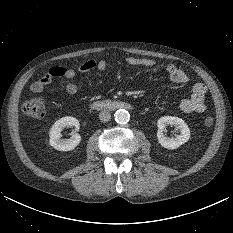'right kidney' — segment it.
Here are the masks:
<instances>
[{
  "label": "right kidney",
  "mask_w": 233,
  "mask_h": 233,
  "mask_svg": "<svg viewBox=\"0 0 233 233\" xmlns=\"http://www.w3.org/2000/svg\"><path fill=\"white\" fill-rule=\"evenodd\" d=\"M66 126H74L79 130V121L75 117L66 116L57 120L49 130L50 145L59 151L73 150L81 141L78 133L73 134L69 139H61V132Z\"/></svg>",
  "instance_id": "1"
}]
</instances>
